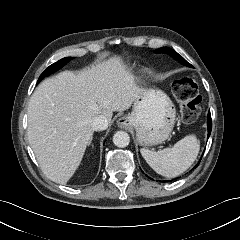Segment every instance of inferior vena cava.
Segmentation results:
<instances>
[{
    "instance_id": "inferior-vena-cava-1",
    "label": "inferior vena cava",
    "mask_w": 240,
    "mask_h": 240,
    "mask_svg": "<svg viewBox=\"0 0 240 240\" xmlns=\"http://www.w3.org/2000/svg\"><path fill=\"white\" fill-rule=\"evenodd\" d=\"M108 127V120L103 115L95 116L91 121V128L94 131L105 130Z\"/></svg>"
}]
</instances>
